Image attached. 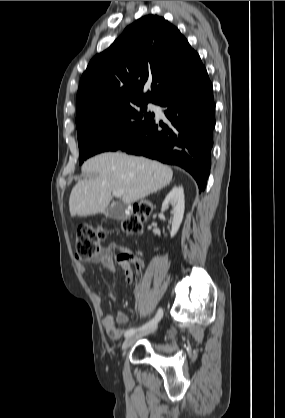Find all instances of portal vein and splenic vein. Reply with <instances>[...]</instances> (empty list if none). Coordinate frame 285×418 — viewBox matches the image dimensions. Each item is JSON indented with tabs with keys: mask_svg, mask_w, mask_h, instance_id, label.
<instances>
[{
	"mask_svg": "<svg viewBox=\"0 0 285 418\" xmlns=\"http://www.w3.org/2000/svg\"><path fill=\"white\" fill-rule=\"evenodd\" d=\"M122 194H123V191H121V190H114L113 191V195L115 196V197H121L122 196Z\"/></svg>",
	"mask_w": 285,
	"mask_h": 418,
	"instance_id": "portal-vein-and-splenic-vein-1",
	"label": "portal vein and splenic vein"
}]
</instances>
